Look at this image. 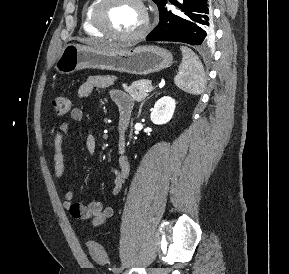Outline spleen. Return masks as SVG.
Wrapping results in <instances>:
<instances>
[{"mask_svg":"<svg viewBox=\"0 0 289 274\" xmlns=\"http://www.w3.org/2000/svg\"><path fill=\"white\" fill-rule=\"evenodd\" d=\"M183 58L174 78L177 87L191 94H201L205 87L204 68L198 56L188 47L181 46Z\"/></svg>","mask_w":289,"mask_h":274,"instance_id":"3e777b00","label":"spleen"}]
</instances>
